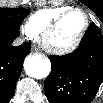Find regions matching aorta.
I'll use <instances>...</instances> for the list:
<instances>
[{
    "mask_svg": "<svg viewBox=\"0 0 103 103\" xmlns=\"http://www.w3.org/2000/svg\"><path fill=\"white\" fill-rule=\"evenodd\" d=\"M24 69L28 76L42 79L49 75L51 70L50 60L37 55L28 56L24 61Z\"/></svg>",
    "mask_w": 103,
    "mask_h": 103,
    "instance_id": "762f6f07",
    "label": "aorta"
}]
</instances>
